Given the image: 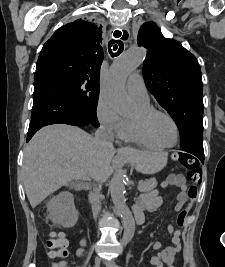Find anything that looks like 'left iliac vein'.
Listing matches in <instances>:
<instances>
[{
	"instance_id": "4c4485c4",
	"label": "left iliac vein",
	"mask_w": 225,
	"mask_h": 267,
	"mask_svg": "<svg viewBox=\"0 0 225 267\" xmlns=\"http://www.w3.org/2000/svg\"><path fill=\"white\" fill-rule=\"evenodd\" d=\"M105 264L107 267H118L113 261H106Z\"/></svg>"
}]
</instances>
